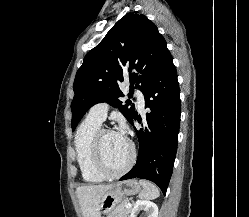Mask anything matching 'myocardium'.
Instances as JSON below:
<instances>
[{
  "mask_svg": "<svg viewBox=\"0 0 249 217\" xmlns=\"http://www.w3.org/2000/svg\"><path fill=\"white\" fill-rule=\"evenodd\" d=\"M108 132H115V131L110 128H100L94 136V139H93L94 164L98 172H100L106 178H118L124 175L126 172H128L133 166L135 159H136V150H135V146L133 142L130 140H127L128 145H129V150H130V156H129L127 163L125 164L124 167H122L119 170H111L105 162L103 149H102V138L104 134Z\"/></svg>",
  "mask_w": 249,
  "mask_h": 217,
  "instance_id": "obj_1",
  "label": "myocardium"
}]
</instances>
